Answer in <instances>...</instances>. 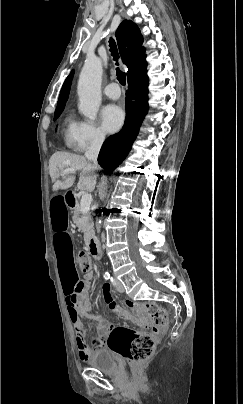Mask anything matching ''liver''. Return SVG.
I'll return each mask as SVG.
<instances>
[{"label":"liver","mask_w":243,"mask_h":404,"mask_svg":"<svg viewBox=\"0 0 243 404\" xmlns=\"http://www.w3.org/2000/svg\"><path fill=\"white\" fill-rule=\"evenodd\" d=\"M63 170H82L80 180L77 184L78 190H86V192H93L96 186V178L92 176L91 172L95 170L89 160L84 156H76V154H68V152H55L49 160V174L53 182V192L57 190H67L74 184V176H68L64 182L58 180Z\"/></svg>","instance_id":"6515ba94"}]
</instances>
